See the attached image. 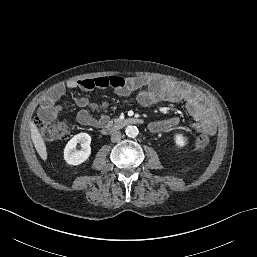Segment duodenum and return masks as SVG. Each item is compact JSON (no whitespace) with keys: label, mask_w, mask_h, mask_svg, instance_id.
Returning a JSON list of instances; mask_svg holds the SVG:
<instances>
[{"label":"duodenum","mask_w":257,"mask_h":257,"mask_svg":"<svg viewBox=\"0 0 257 257\" xmlns=\"http://www.w3.org/2000/svg\"><path fill=\"white\" fill-rule=\"evenodd\" d=\"M143 120L137 117L116 118L106 121L101 127L105 134L112 133L128 125H140Z\"/></svg>","instance_id":"410a0bca"}]
</instances>
